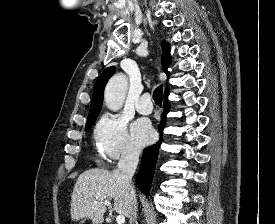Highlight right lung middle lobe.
I'll list each match as a JSON object with an SVG mask.
<instances>
[{"instance_id": "right-lung-middle-lobe-1", "label": "right lung middle lobe", "mask_w": 275, "mask_h": 224, "mask_svg": "<svg viewBox=\"0 0 275 224\" xmlns=\"http://www.w3.org/2000/svg\"><path fill=\"white\" fill-rule=\"evenodd\" d=\"M94 121H95V120L86 123V127H85V130H86V131L90 129V127L92 126V124L94 123Z\"/></svg>"}]
</instances>
